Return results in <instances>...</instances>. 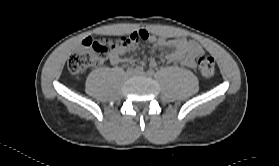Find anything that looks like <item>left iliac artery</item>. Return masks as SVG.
I'll return each instance as SVG.
<instances>
[{"label": "left iliac artery", "instance_id": "obj_1", "mask_svg": "<svg viewBox=\"0 0 279 166\" xmlns=\"http://www.w3.org/2000/svg\"><path fill=\"white\" fill-rule=\"evenodd\" d=\"M147 73H148V75H151V76H152V75H154L155 72H154L153 69L150 68V69L147 71Z\"/></svg>", "mask_w": 279, "mask_h": 166}]
</instances>
